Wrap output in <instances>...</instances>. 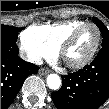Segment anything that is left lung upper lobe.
Segmentation results:
<instances>
[{
  "label": "left lung upper lobe",
  "instance_id": "1",
  "mask_svg": "<svg viewBox=\"0 0 109 109\" xmlns=\"http://www.w3.org/2000/svg\"><path fill=\"white\" fill-rule=\"evenodd\" d=\"M94 22L99 27L100 31L102 32L103 37V43L102 47L109 45V30L106 28V26L97 18L93 17Z\"/></svg>",
  "mask_w": 109,
  "mask_h": 109
}]
</instances>
